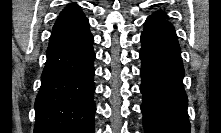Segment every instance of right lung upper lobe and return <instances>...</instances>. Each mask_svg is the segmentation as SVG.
Segmentation results:
<instances>
[{
  "label": "right lung upper lobe",
  "instance_id": "cb5924a9",
  "mask_svg": "<svg viewBox=\"0 0 221 133\" xmlns=\"http://www.w3.org/2000/svg\"><path fill=\"white\" fill-rule=\"evenodd\" d=\"M90 34L88 19L75 3L67 5L60 13L50 36V43H69L82 40Z\"/></svg>",
  "mask_w": 221,
  "mask_h": 133
}]
</instances>
